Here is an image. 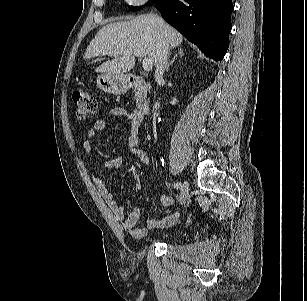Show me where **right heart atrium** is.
I'll return each mask as SVG.
<instances>
[{
	"mask_svg": "<svg viewBox=\"0 0 307 301\" xmlns=\"http://www.w3.org/2000/svg\"><path fill=\"white\" fill-rule=\"evenodd\" d=\"M148 0H126V2L131 5V6H134V7H137V6H141L145 3H147Z\"/></svg>",
	"mask_w": 307,
	"mask_h": 301,
	"instance_id": "d8ad5b80",
	"label": "right heart atrium"
}]
</instances>
